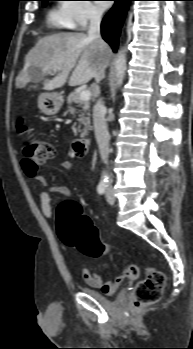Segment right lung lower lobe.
I'll return each instance as SVG.
<instances>
[{"label":"right lung lower lobe","instance_id":"right-lung-lower-lobe-1","mask_svg":"<svg viewBox=\"0 0 193 349\" xmlns=\"http://www.w3.org/2000/svg\"><path fill=\"white\" fill-rule=\"evenodd\" d=\"M115 4L105 16L101 24L104 40L110 44L113 51H117L118 37L125 18L129 3L132 0H114Z\"/></svg>","mask_w":193,"mask_h":349}]
</instances>
